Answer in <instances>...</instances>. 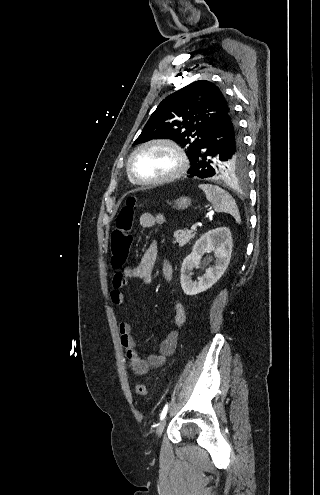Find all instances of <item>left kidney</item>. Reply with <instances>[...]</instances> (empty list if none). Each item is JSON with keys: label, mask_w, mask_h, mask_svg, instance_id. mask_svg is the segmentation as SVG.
<instances>
[{"label": "left kidney", "mask_w": 320, "mask_h": 495, "mask_svg": "<svg viewBox=\"0 0 320 495\" xmlns=\"http://www.w3.org/2000/svg\"><path fill=\"white\" fill-rule=\"evenodd\" d=\"M214 252L215 265L206 269L198 281L192 280V271L200 264L202 255ZM232 253V236L226 227L208 231L193 246L191 254L183 261L181 267V286L185 294L196 295L211 288L226 271Z\"/></svg>", "instance_id": "5707ae66"}]
</instances>
